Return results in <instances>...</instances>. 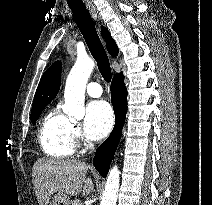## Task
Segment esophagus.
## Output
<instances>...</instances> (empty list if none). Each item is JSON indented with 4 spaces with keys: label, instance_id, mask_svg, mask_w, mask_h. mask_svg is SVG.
I'll return each instance as SVG.
<instances>
[{
    "label": "esophagus",
    "instance_id": "esophagus-1",
    "mask_svg": "<svg viewBox=\"0 0 212 205\" xmlns=\"http://www.w3.org/2000/svg\"><path fill=\"white\" fill-rule=\"evenodd\" d=\"M87 8L89 10V12L91 13L92 17L97 20L98 18V15H97V12H96V9L95 7L93 6L92 3H87Z\"/></svg>",
    "mask_w": 212,
    "mask_h": 205
}]
</instances>
